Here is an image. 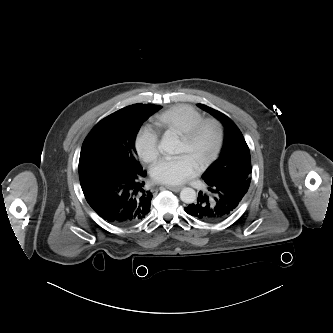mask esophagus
I'll use <instances>...</instances> for the list:
<instances>
[{
	"label": "esophagus",
	"mask_w": 333,
	"mask_h": 333,
	"mask_svg": "<svg viewBox=\"0 0 333 333\" xmlns=\"http://www.w3.org/2000/svg\"><path fill=\"white\" fill-rule=\"evenodd\" d=\"M166 188L169 189V190H171V191L178 192V191H180L183 188V186H170V185H167Z\"/></svg>",
	"instance_id": "1"
}]
</instances>
